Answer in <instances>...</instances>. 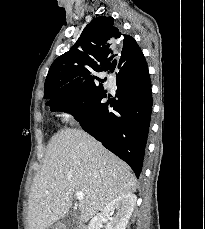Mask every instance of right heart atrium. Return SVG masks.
Returning <instances> with one entry per match:
<instances>
[{
    "mask_svg": "<svg viewBox=\"0 0 205 229\" xmlns=\"http://www.w3.org/2000/svg\"><path fill=\"white\" fill-rule=\"evenodd\" d=\"M61 116L69 122H73L76 119V112L73 108L67 107L60 110Z\"/></svg>",
    "mask_w": 205,
    "mask_h": 229,
    "instance_id": "obj_1",
    "label": "right heart atrium"
}]
</instances>
